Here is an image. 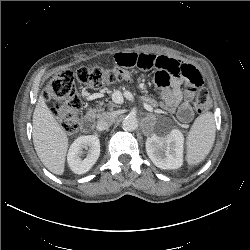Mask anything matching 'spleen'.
<instances>
[{
  "label": "spleen",
  "instance_id": "3e777b00",
  "mask_svg": "<svg viewBox=\"0 0 250 250\" xmlns=\"http://www.w3.org/2000/svg\"><path fill=\"white\" fill-rule=\"evenodd\" d=\"M215 119L212 112L199 115L187 136L186 161L189 165L202 162L211 151L215 141Z\"/></svg>",
  "mask_w": 250,
  "mask_h": 250
}]
</instances>
